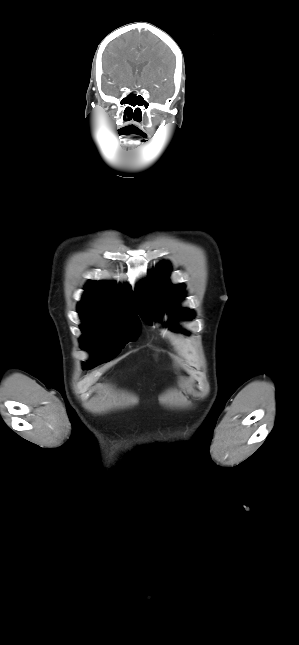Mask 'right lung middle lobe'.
<instances>
[{
	"label": "right lung middle lobe",
	"mask_w": 299,
	"mask_h": 645,
	"mask_svg": "<svg viewBox=\"0 0 299 645\" xmlns=\"http://www.w3.org/2000/svg\"><path fill=\"white\" fill-rule=\"evenodd\" d=\"M84 336L81 346L92 353V361L84 365L91 369L113 359L129 341H135L140 332V320L108 312H79Z\"/></svg>",
	"instance_id": "right-lung-middle-lobe-1"
}]
</instances>
